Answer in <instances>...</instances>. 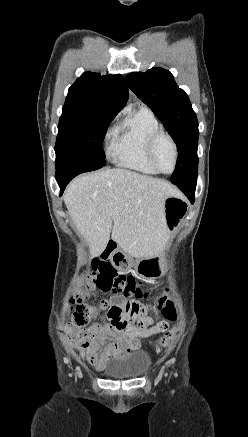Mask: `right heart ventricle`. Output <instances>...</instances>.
Segmentation results:
<instances>
[{
	"instance_id": "e07e8e85",
	"label": "right heart ventricle",
	"mask_w": 248,
	"mask_h": 437,
	"mask_svg": "<svg viewBox=\"0 0 248 437\" xmlns=\"http://www.w3.org/2000/svg\"><path fill=\"white\" fill-rule=\"evenodd\" d=\"M160 128L159 120L147 107H139L129 114L115 129L111 146L114 162L142 174L157 175L148 160L146 147L151 135Z\"/></svg>"
}]
</instances>
